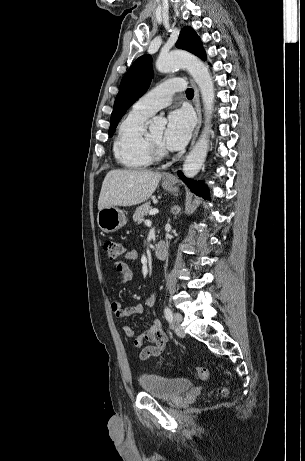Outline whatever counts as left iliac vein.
<instances>
[{
    "label": "left iliac vein",
    "instance_id": "obj_1",
    "mask_svg": "<svg viewBox=\"0 0 305 461\" xmlns=\"http://www.w3.org/2000/svg\"><path fill=\"white\" fill-rule=\"evenodd\" d=\"M182 320H183V317L180 313L174 314V322H173L172 328L174 329V331L179 337H184L185 335L184 330L180 325Z\"/></svg>",
    "mask_w": 305,
    "mask_h": 461
}]
</instances>
